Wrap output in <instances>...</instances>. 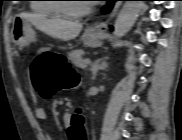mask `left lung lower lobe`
<instances>
[{"mask_svg": "<svg viewBox=\"0 0 182 140\" xmlns=\"http://www.w3.org/2000/svg\"><path fill=\"white\" fill-rule=\"evenodd\" d=\"M113 0H108V4H106L103 8V11L109 12L113 6Z\"/></svg>", "mask_w": 182, "mask_h": 140, "instance_id": "left-lung-lower-lobe-1", "label": "left lung lower lobe"}]
</instances>
